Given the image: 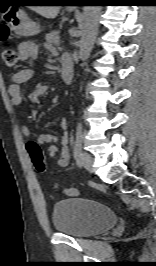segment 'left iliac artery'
Returning <instances> with one entry per match:
<instances>
[{
  "label": "left iliac artery",
  "mask_w": 156,
  "mask_h": 266,
  "mask_svg": "<svg viewBox=\"0 0 156 266\" xmlns=\"http://www.w3.org/2000/svg\"><path fill=\"white\" fill-rule=\"evenodd\" d=\"M82 125L81 123H78L77 129H76V139H75V144L73 148V155L75 159H79L81 156L82 152Z\"/></svg>",
  "instance_id": "left-iliac-artery-1"
}]
</instances>
